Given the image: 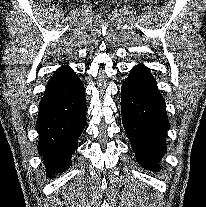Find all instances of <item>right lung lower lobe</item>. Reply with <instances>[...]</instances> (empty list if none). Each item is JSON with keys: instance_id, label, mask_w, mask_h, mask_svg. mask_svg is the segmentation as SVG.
I'll list each match as a JSON object with an SVG mask.
<instances>
[{"instance_id": "obj_1", "label": "right lung lower lobe", "mask_w": 206, "mask_h": 207, "mask_svg": "<svg viewBox=\"0 0 206 207\" xmlns=\"http://www.w3.org/2000/svg\"><path fill=\"white\" fill-rule=\"evenodd\" d=\"M85 122L83 83L71 68L63 66L46 85L36 122L38 152L50 178L70 166Z\"/></svg>"}]
</instances>
